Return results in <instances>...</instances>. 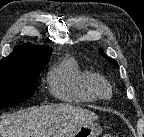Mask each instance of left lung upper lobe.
Masks as SVG:
<instances>
[{
	"label": "left lung upper lobe",
	"instance_id": "left-lung-upper-lobe-1",
	"mask_svg": "<svg viewBox=\"0 0 144 137\" xmlns=\"http://www.w3.org/2000/svg\"><path fill=\"white\" fill-rule=\"evenodd\" d=\"M100 52H102V50H100ZM110 60V59H108ZM116 67H118V64L115 61H111Z\"/></svg>",
	"mask_w": 144,
	"mask_h": 137
}]
</instances>
